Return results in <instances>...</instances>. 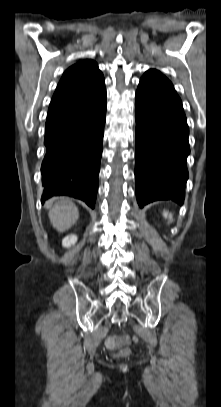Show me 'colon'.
I'll use <instances>...</instances> for the list:
<instances>
[{
  "mask_svg": "<svg viewBox=\"0 0 221 407\" xmlns=\"http://www.w3.org/2000/svg\"><path fill=\"white\" fill-rule=\"evenodd\" d=\"M130 342H131V340H130L129 337H123L122 339H117V338H115V337H110V338H108L107 341H106V346H107V348L110 349V350H115V349H117V348L120 346V344L126 345L125 348L121 349V350L118 352V356L126 357V356H128V355L130 354V352H131V351H130V348L127 347V345H129Z\"/></svg>",
  "mask_w": 221,
  "mask_h": 407,
  "instance_id": "1",
  "label": "colon"
}]
</instances>
